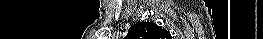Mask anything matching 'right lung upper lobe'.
<instances>
[{
	"label": "right lung upper lobe",
	"instance_id": "right-lung-upper-lobe-1",
	"mask_svg": "<svg viewBox=\"0 0 263 39\" xmlns=\"http://www.w3.org/2000/svg\"><path fill=\"white\" fill-rule=\"evenodd\" d=\"M127 37L129 39H169L170 33L155 23L142 22L131 26Z\"/></svg>",
	"mask_w": 263,
	"mask_h": 39
}]
</instances>
